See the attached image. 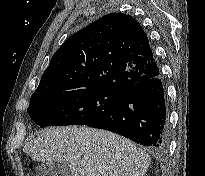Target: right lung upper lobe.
Listing matches in <instances>:
<instances>
[{
    "label": "right lung upper lobe",
    "instance_id": "obj_1",
    "mask_svg": "<svg viewBox=\"0 0 205 176\" xmlns=\"http://www.w3.org/2000/svg\"><path fill=\"white\" fill-rule=\"evenodd\" d=\"M160 70L141 25L111 13L70 36L53 55L32 96L108 88L124 92Z\"/></svg>",
    "mask_w": 205,
    "mask_h": 176
}]
</instances>
